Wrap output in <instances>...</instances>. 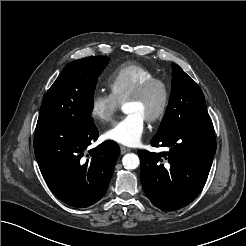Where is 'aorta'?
<instances>
[{
    "mask_svg": "<svg viewBox=\"0 0 246 246\" xmlns=\"http://www.w3.org/2000/svg\"><path fill=\"white\" fill-rule=\"evenodd\" d=\"M122 164H123L125 169L133 170L139 166L140 160L136 154L128 153V154L124 155V157L122 159Z\"/></svg>",
    "mask_w": 246,
    "mask_h": 246,
    "instance_id": "762f6f07",
    "label": "aorta"
}]
</instances>
